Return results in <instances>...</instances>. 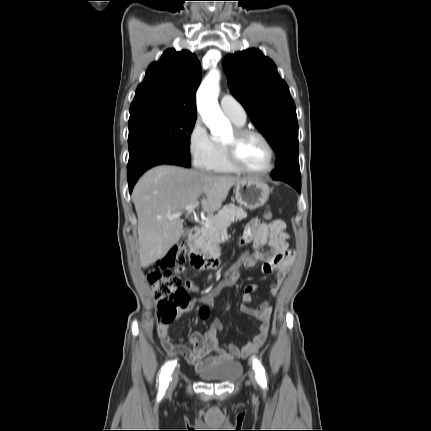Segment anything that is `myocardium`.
Masks as SVG:
<instances>
[{
    "mask_svg": "<svg viewBox=\"0 0 431 431\" xmlns=\"http://www.w3.org/2000/svg\"><path fill=\"white\" fill-rule=\"evenodd\" d=\"M248 136H256L262 140L269 151L270 162L264 169H251L246 167L240 160L238 155L239 143ZM226 155L230 165L238 172L248 174H266L271 172L275 167L276 153L268 138L260 131L252 128L237 127L233 130V138L229 141H224Z\"/></svg>",
    "mask_w": 431,
    "mask_h": 431,
    "instance_id": "1",
    "label": "myocardium"
}]
</instances>
